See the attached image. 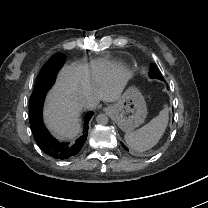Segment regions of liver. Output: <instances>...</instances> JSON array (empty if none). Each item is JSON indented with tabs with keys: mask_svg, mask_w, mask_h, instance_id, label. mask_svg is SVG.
<instances>
[{
	"mask_svg": "<svg viewBox=\"0 0 208 208\" xmlns=\"http://www.w3.org/2000/svg\"><path fill=\"white\" fill-rule=\"evenodd\" d=\"M131 77L124 65L101 58L90 64L66 65L46 99L44 121L48 129L61 140L74 138L81 130L80 99L87 101L84 107L89 109L100 101L114 102Z\"/></svg>",
	"mask_w": 208,
	"mask_h": 208,
	"instance_id": "obj_1",
	"label": "liver"
}]
</instances>
